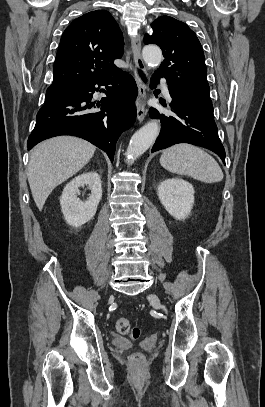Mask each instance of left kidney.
I'll use <instances>...</instances> for the list:
<instances>
[{"label":"left kidney","instance_id":"1","mask_svg":"<svg viewBox=\"0 0 265 407\" xmlns=\"http://www.w3.org/2000/svg\"><path fill=\"white\" fill-rule=\"evenodd\" d=\"M159 200L168 213L177 220L186 219L194 205L193 186L180 178L162 181L157 191Z\"/></svg>","mask_w":265,"mask_h":407}]
</instances>
